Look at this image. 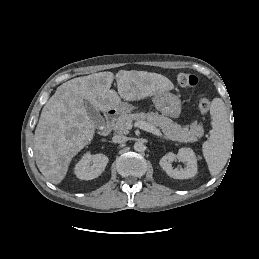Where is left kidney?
Segmentation results:
<instances>
[{
    "mask_svg": "<svg viewBox=\"0 0 259 259\" xmlns=\"http://www.w3.org/2000/svg\"><path fill=\"white\" fill-rule=\"evenodd\" d=\"M177 159L186 163L184 169L172 166V162ZM159 164L167 175L174 179H189L194 177L198 171L196 155L191 148H180L177 155L169 152L160 159Z\"/></svg>",
    "mask_w": 259,
    "mask_h": 259,
    "instance_id": "obj_1",
    "label": "left kidney"
}]
</instances>
